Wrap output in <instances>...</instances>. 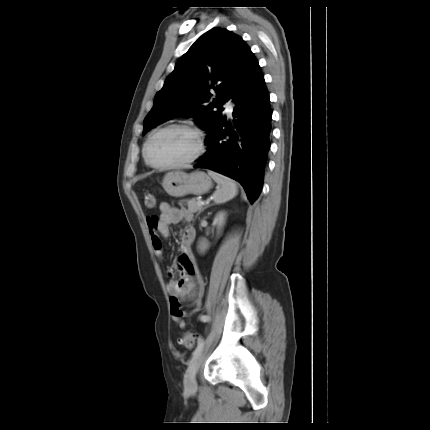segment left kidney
Wrapping results in <instances>:
<instances>
[{"label":"left kidney","instance_id":"left-kidney-1","mask_svg":"<svg viewBox=\"0 0 430 430\" xmlns=\"http://www.w3.org/2000/svg\"><path fill=\"white\" fill-rule=\"evenodd\" d=\"M215 224L217 225L218 230H220L222 228V226L224 225L225 222V214L224 213H219L215 220H214ZM207 248V243L202 240L201 244H200V249L202 251H204Z\"/></svg>","mask_w":430,"mask_h":430}]
</instances>
